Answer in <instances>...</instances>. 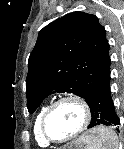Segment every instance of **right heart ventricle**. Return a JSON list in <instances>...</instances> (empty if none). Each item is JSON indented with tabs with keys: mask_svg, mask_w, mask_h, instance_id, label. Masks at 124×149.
Listing matches in <instances>:
<instances>
[{
	"mask_svg": "<svg viewBox=\"0 0 124 149\" xmlns=\"http://www.w3.org/2000/svg\"><path fill=\"white\" fill-rule=\"evenodd\" d=\"M47 106H43L39 109L37 112L34 123H33V133H34V138L37 142V144L41 147H46L49 145V142H47L44 137L42 136L41 129H40V124H41V119L42 116L46 110Z\"/></svg>",
	"mask_w": 124,
	"mask_h": 149,
	"instance_id": "right-heart-ventricle-1",
	"label": "right heart ventricle"
}]
</instances>
